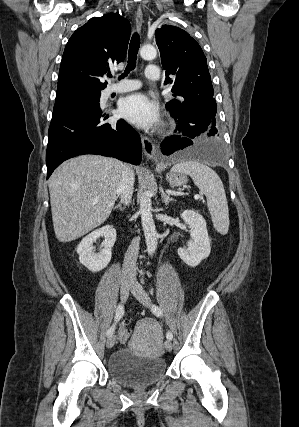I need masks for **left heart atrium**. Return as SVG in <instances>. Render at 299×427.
I'll list each match as a JSON object with an SVG mask.
<instances>
[{
	"mask_svg": "<svg viewBox=\"0 0 299 427\" xmlns=\"http://www.w3.org/2000/svg\"><path fill=\"white\" fill-rule=\"evenodd\" d=\"M119 111L123 118L141 128H151L159 122L158 106L144 94L124 98L120 102Z\"/></svg>",
	"mask_w": 299,
	"mask_h": 427,
	"instance_id": "left-heart-atrium-1",
	"label": "left heart atrium"
}]
</instances>
